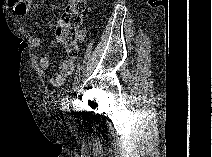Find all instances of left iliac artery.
<instances>
[{
	"instance_id": "left-iliac-artery-1",
	"label": "left iliac artery",
	"mask_w": 212,
	"mask_h": 157,
	"mask_svg": "<svg viewBox=\"0 0 212 157\" xmlns=\"http://www.w3.org/2000/svg\"><path fill=\"white\" fill-rule=\"evenodd\" d=\"M68 94H69V91L66 90V91L64 92L63 97H62V106H63L64 108H66V107L68 106Z\"/></svg>"
}]
</instances>
